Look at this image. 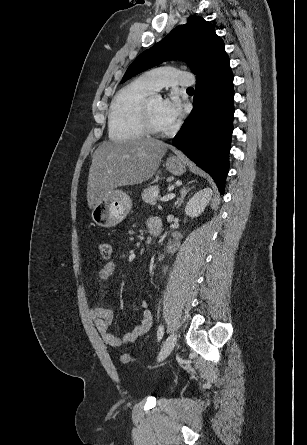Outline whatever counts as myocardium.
<instances>
[{
  "label": "myocardium",
  "instance_id": "myocardium-1",
  "mask_svg": "<svg viewBox=\"0 0 307 445\" xmlns=\"http://www.w3.org/2000/svg\"><path fill=\"white\" fill-rule=\"evenodd\" d=\"M159 96L157 93L151 94L143 103L140 113L143 119L144 126L146 128L147 133L151 135H167L172 134L176 131L177 125H173L171 128L163 130L158 128L152 119L151 115V105L155 97ZM148 139H159L158 137H149Z\"/></svg>",
  "mask_w": 307,
  "mask_h": 445
}]
</instances>
